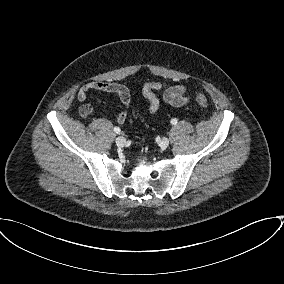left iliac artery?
<instances>
[{
  "instance_id": "left-iliac-artery-1",
  "label": "left iliac artery",
  "mask_w": 284,
  "mask_h": 284,
  "mask_svg": "<svg viewBox=\"0 0 284 284\" xmlns=\"http://www.w3.org/2000/svg\"><path fill=\"white\" fill-rule=\"evenodd\" d=\"M177 122H178V121H177V119H176V118H173V119L171 120V124H172V125H176V124H177Z\"/></svg>"
}]
</instances>
